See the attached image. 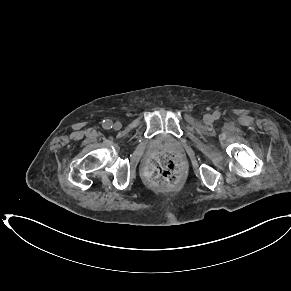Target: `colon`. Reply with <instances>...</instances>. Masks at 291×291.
<instances>
[{
  "instance_id": "1",
  "label": "colon",
  "mask_w": 291,
  "mask_h": 291,
  "mask_svg": "<svg viewBox=\"0 0 291 291\" xmlns=\"http://www.w3.org/2000/svg\"><path fill=\"white\" fill-rule=\"evenodd\" d=\"M145 172L153 185L159 188H167L177 180L179 163L170 154H160L149 160Z\"/></svg>"
}]
</instances>
